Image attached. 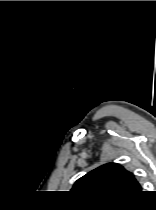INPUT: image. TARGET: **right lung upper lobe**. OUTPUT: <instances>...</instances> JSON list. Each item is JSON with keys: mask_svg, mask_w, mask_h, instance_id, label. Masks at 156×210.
Segmentation results:
<instances>
[{"mask_svg": "<svg viewBox=\"0 0 156 210\" xmlns=\"http://www.w3.org/2000/svg\"><path fill=\"white\" fill-rule=\"evenodd\" d=\"M72 191L90 198H131L141 193L134 175L116 163L102 165L78 179Z\"/></svg>", "mask_w": 156, "mask_h": 210, "instance_id": "right-lung-upper-lobe-1", "label": "right lung upper lobe"}]
</instances>
